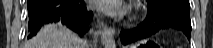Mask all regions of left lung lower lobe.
<instances>
[{
  "label": "left lung lower lobe",
  "instance_id": "0a47b994",
  "mask_svg": "<svg viewBox=\"0 0 213 48\" xmlns=\"http://www.w3.org/2000/svg\"><path fill=\"white\" fill-rule=\"evenodd\" d=\"M164 28L181 30L190 41V9L171 3H164L156 7L148 6V15L139 27L121 31V43L124 45L129 44L136 40L149 37Z\"/></svg>",
  "mask_w": 213,
  "mask_h": 48
}]
</instances>
